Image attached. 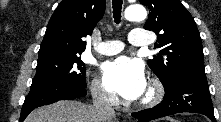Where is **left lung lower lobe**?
Listing matches in <instances>:
<instances>
[{"instance_id": "left-lung-lower-lobe-1", "label": "left lung lower lobe", "mask_w": 221, "mask_h": 122, "mask_svg": "<svg viewBox=\"0 0 221 122\" xmlns=\"http://www.w3.org/2000/svg\"><path fill=\"white\" fill-rule=\"evenodd\" d=\"M163 101L151 109L132 114L139 122H147L176 113L190 112L208 116L215 122L213 105L206 77L185 76L164 87Z\"/></svg>"}]
</instances>
